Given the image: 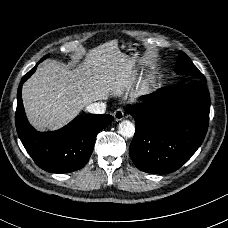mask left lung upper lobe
I'll return each instance as SVG.
<instances>
[{"mask_svg":"<svg viewBox=\"0 0 228 228\" xmlns=\"http://www.w3.org/2000/svg\"><path fill=\"white\" fill-rule=\"evenodd\" d=\"M175 72L177 74L188 75L192 77L193 81L204 82L206 80L204 75L196 68L190 58L182 51L179 52Z\"/></svg>","mask_w":228,"mask_h":228,"instance_id":"1","label":"left lung upper lobe"}]
</instances>
